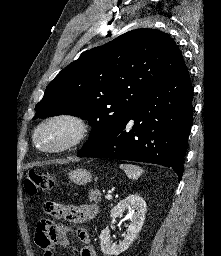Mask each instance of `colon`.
<instances>
[{"mask_svg": "<svg viewBox=\"0 0 221 256\" xmlns=\"http://www.w3.org/2000/svg\"><path fill=\"white\" fill-rule=\"evenodd\" d=\"M24 185L27 193L33 196L40 191L53 189L56 182L53 176L47 172L31 170L27 175Z\"/></svg>", "mask_w": 221, "mask_h": 256, "instance_id": "1", "label": "colon"}]
</instances>
